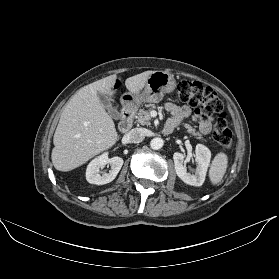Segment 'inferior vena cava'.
I'll use <instances>...</instances> for the list:
<instances>
[{
	"instance_id": "1",
	"label": "inferior vena cava",
	"mask_w": 279,
	"mask_h": 279,
	"mask_svg": "<svg viewBox=\"0 0 279 279\" xmlns=\"http://www.w3.org/2000/svg\"><path fill=\"white\" fill-rule=\"evenodd\" d=\"M125 138L127 141L131 143H140L144 140L145 134L142 130L140 129H132L130 130L126 135Z\"/></svg>"
}]
</instances>
